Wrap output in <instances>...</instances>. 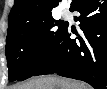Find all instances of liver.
<instances>
[{"label":"liver","instance_id":"obj_1","mask_svg":"<svg viewBox=\"0 0 107 89\" xmlns=\"http://www.w3.org/2000/svg\"><path fill=\"white\" fill-rule=\"evenodd\" d=\"M11 89H91L89 85L71 79L40 76L25 83L17 84Z\"/></svg>","mask_w":107,"mask_h":89}]
</instances>
